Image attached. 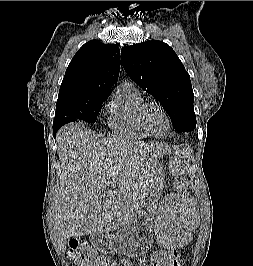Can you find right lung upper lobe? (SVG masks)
<instances>
[{"instance_id":"right-lung-upper-lobe-1","label":"right lung upper lobe","mask_w":253,"mask_h":266,"mask_svg":"<svg viewBox=\"0 0 253 266\" xmlns=\"http://www.w3.org/2000/svg\"><path fill=\"white\" fill-rule=\"evenodd\" d=\"M120 71V50L115 44L91 40L72 58L60 86L57 102L84 101L110 94Z\"/></svg>"}]
</instances>
